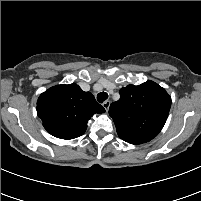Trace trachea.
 Listing matches in <instances>:
<instances>
[{
    "label": "trachea",
    "mask_w": 201,
    "mask_h": 201,
    "mask_svg": "<svg viewBox=\"0 0 201 201\" xmlns=\"http://www.w3.org/2000/svg\"><path fill=\"white\" fill-rule=\"evenodd\" d=\"M108 98V94L106 92H100L97 95V100L99 103H103Z\"/></svg>",
    "instance_id": "obj_1"
}]
</instances>
